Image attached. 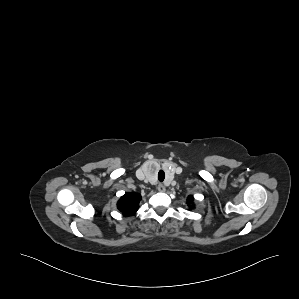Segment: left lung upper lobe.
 Wrapping results in <instances>:
<instances>
[{"label":"left lung upper lobe","instance_id":"obj_1","mask_svg":"<svg viewBox=\"0 0 299 299\" xmlns=\"http://www.w3.org/2000/svg\"><path fill=\"white\" fill-rule=\"evenodd\" d=\"M187 200H188V202L191 204V203L193 202V197H192V196H189ZM190 208H192V206H190Z\"/></svg>","mask_w":299,"mask_h":299}]
</instances>
